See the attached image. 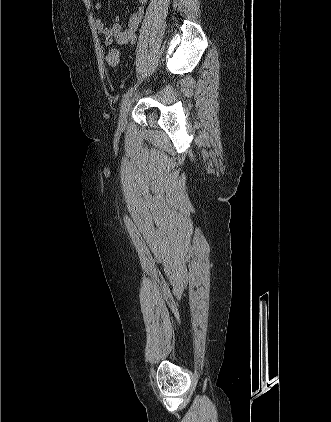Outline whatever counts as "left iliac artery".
<instances>
[{
  "label": "left iliac artery",
  "mask_w": 331,
  "mask_h": 422,
  "mask_svg": "<svg viewBox=\"0 0 331 422\" xmlns=\"http://www.w3.org/2000/svg\"><path fill=\"white\" fill-rule=\"evenodd\" d=\"M138 86V83H136L133 87H131L124 95H123V99L121 102V105H123V103L129 98V96H131V94L134 92V90H136Z\"/></svg>",
  "instance_id": "obj_1"
}]
</instances>
